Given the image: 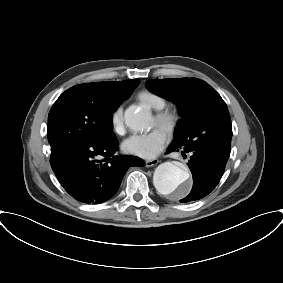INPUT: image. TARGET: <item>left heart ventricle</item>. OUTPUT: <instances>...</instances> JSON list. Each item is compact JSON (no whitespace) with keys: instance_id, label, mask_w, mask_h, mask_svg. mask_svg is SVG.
I'll list each match as a JSON object with an SVG mask.
<instances>
[{"instance_id":"left-heart-ventricle-1","label":"left heart ventricle","mask_w":283,"mask_h":283,"mask_svg":"<svg viewBox=\"0 0 283 283\" xmlns=\"http://www.w3.org/2000/svg\"><path fill=\"white\" fill-rule=\"evenodd\" d=\"M152 126L153 127H159L156 120L153 118V122H152ZM160 128V127H159Z\"/></svg>"}]
</instances>
